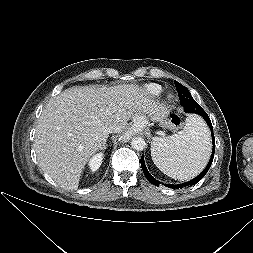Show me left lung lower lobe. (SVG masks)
Here are the masks:
<instances>
[{
  "label": "left lung lower lobe",
  "instance_id": "1",
  "mask_svg": "<svg viewBox=\"0 0 253 253\" xmlns=\"http://www.w3.org/2000/svg\"><path fill=\"white\" fill-rule=\"evenodd\" d=\"M195 114L201 115L205 119L207 125L209 126V128L211 130L212 141H213V151H212L211 158H210L209 163L206 166V168L197 177H195L194 179H192V180H190V181H188L186 183L177 184V185L164 184L163 183V185L166 186V187H168V188L181 189V188H184V187H187V186H190V185H195L196 183H198L206 175V173L208 172V170H209V168H210V166H211V164L213 162V157H214V152H215V139H214V133L212 132V130H213L212 123H211V121H210L207 113L200 106H198L197 109H195ZM141 167H142L144 175L146 176L147 180L150 183H152V184H154L156 186H158L159 184H161V182H159L154 177H152V175L147 170L145 162H144L143 155L141 156Z\"/></svg>",
  "mask_w": 253,
  "mask_h": 253
}]
</instances>
